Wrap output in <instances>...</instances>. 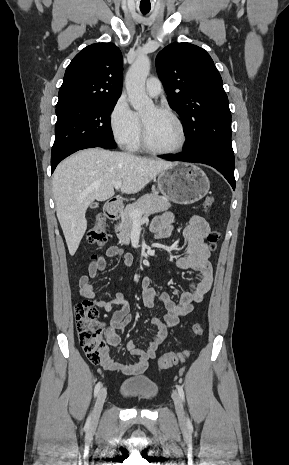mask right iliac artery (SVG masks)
Returning a JSON list of instances; mask_svg holds the SVG:
<instances>
[{"label":"right iliac artery","instance_id":"obj_1","mask_svg":"<svg viewBox=\"0 0 289 465\" xmlns=\"http://www.w3.org/2000/svg\"><path fill=\"white\" fill-rule=\"evenodd\" d=\"M102 384L101 382H98L96 385H95V388H94V396H96L101 388ZM90 420H91V416L88 417V420H87V424L90 423Z\"/></svg>","mask_w":289,"mask_h":465}]
</instances>
